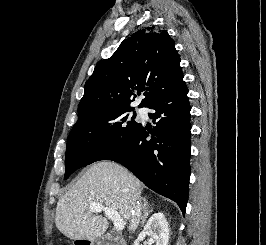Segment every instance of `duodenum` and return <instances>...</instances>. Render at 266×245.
<instances>
[{
	"label": "duodenum",
	"mask_w": 266,
	"mask_h": 245,
	"mask_svg": "<svg viewBox=\"0 0 266 245\" xmlns=\"http://www.w3.org/2000/svg\"><path fill=\"white\" fill-rule=\"evenodd\" d=\"M77 245H126L117 234H109L102 240V237H76Z\"/></svg>",
	"instance_id": "1"
}]
</instances>
